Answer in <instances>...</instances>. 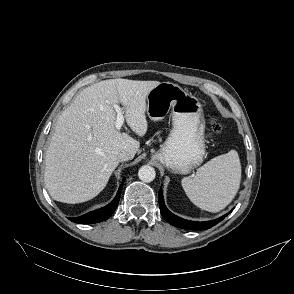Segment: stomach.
Instances as JSON below:
<instances>
[{"instance_id":"0dacf381","label":"stomach","mask_w":294,"mask_h":294,"mask_svg":"<svg viewBox=\"0 0 294 294\" xmlns=\"http://www.w3.org/2000/svg\"><path fill=\"white\" fill-rule=\"evenodd\" d=\"M147 115L162 120L170 111L173 128L152 158L176 174H187L205 157V120L200 102L177 84L162 82L146 97Z\"/></svg>"}]
</instances>
